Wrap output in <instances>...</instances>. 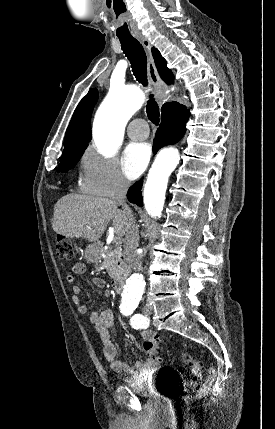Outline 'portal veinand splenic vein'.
Instances as JSON below:
<instances>
[{"label":"portal vein and splenic vein","mask_w":275,"mask_h":429,"mask_svg":"<svg viewBox=\"0 0 275 429\" xmlns=\"http://www.w3.org/2000/svg\"><path fill=\"white\" fill-rule=\"evenodd\" d=\"M113 242H114L116 245H118V244L120 243V238H119V237L114 238V239H113Z\"/></svg>","instance_id":"obj_1"}]
</instances>
